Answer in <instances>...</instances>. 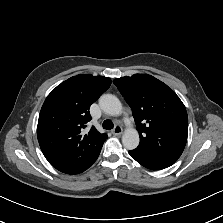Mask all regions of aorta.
Wrapping results in <instances>:
<instances>
[{"mask_svg":"<svg viewBox=\"0 0 223 223\" xmlns=\"http://www.w3.org/2000/svg\"><path fill=\"white\" fill-rule=\"evenodd\" d=\"M99 106L102 111L111 116L120 115L122 112V104L120 100L112 94H103L99 98ZM139 134L136 129L125 130L122 136V144L128 150H133L139 145Z\"/></svg>","mask_w":223,"mask_h":223,"instance_id":"aorta-1","label":"aorta"}]
</instances>
